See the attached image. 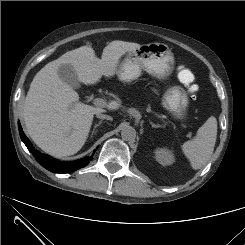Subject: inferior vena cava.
I'll return each instance as SVG.
<instances>
[{
    "label": "inferior vena cava",
    "instance_id": "inferior-vena-cava-1",
    "mask_svg": "<svg viewBox=\"0 0 245 245\" xmlns=\"http://www.w3.org/2000/svg\"><path fill=\"white\" fill-rule=\"evenodd\" d=\"M97 118L99 119H106V120H112V117L106 114H102L101 112L96 113Z\"/></svg>",
    "mask_w": 245,
    "mask_h": 245
}]
</instances>
